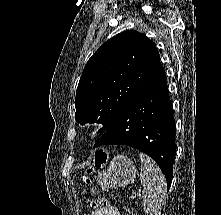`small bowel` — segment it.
<instances>
[{"instance_id":"c3829d8e","label":"small bowel","mask_w":221,"mask_h":215,"mask_svg":"<svg viewBox=\"0 0 221 215\" xmlns=\"http://www.w3.org/2000/svg\"><path fill=\"white\" fill-rule=\"evenodd\" d=\"M88 215H126L115 207H104L91 211Z\"/></svg>"}]
</instances>
